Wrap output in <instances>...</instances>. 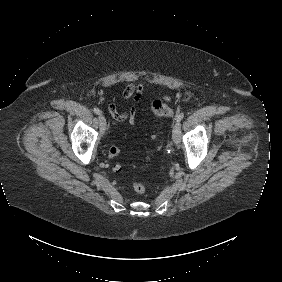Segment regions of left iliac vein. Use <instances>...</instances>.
Here are the masks:
<instances>
[{"label": "left iliac vein", "mask_w": 282, "mask_h": 282, "mask_svg": "<svg viewBox=\"0 0 282 282\" xmlns=\"http://www.w3.org/2000/svg\"><path fill=\"white\" fill-rule=\"evenodd\" d=\"M172 139L176 145L180 143L181 140V123L176 122L172 130Z\"/></svg>", "instance_id": "4c4485c4"}]
</instances>
